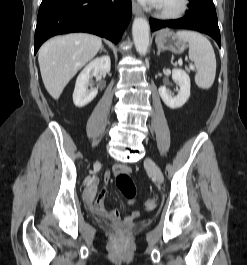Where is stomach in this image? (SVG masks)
Returning a JSON list of instances; mask_svg holds the SVG:
<instances>
[{"instance_id": "0dacf381", "label": "stomach", "mask_w": 247, "mask_h": 265, "mask_svg": "<svg viewBox=\"0 0 247 265\" xmlns=\"http://www.w3.org/2000/svg\"><path fill=\"white\" fill-rule=\"evenodd\" d=\"M156 43L158 48L175 54H181L186 49V42L170 30L160 31L156 35Z\"/></svg>"}]
</instances>
